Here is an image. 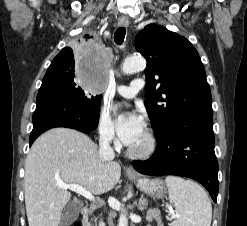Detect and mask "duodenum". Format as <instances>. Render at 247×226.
Listing matches in <instances>:
<instances>
[{"mask_svg": "<svg viewBox=\"0 0 247 226\" xmlns=\"http://www.w3.org/2000/svg\"><path fill=\"white\" fill-rule=\"evenodd\" d=\"M89 215H90V209L88 207H83L81 209V216H82L83 222L87 221Z\"/></svg>", "mask_w": 247, "mask_h": 226, "instance_id": "1", "label": "duodenum"}]
</instances>
